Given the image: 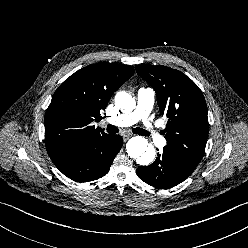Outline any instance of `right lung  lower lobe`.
Wrapping results in <instances>:
<instances>
[{
    "label": "right lung lower lobe",
    "mask_w": 248,
    "mask_h": 248,
    "mask_svg": "<svg viewBox=\"0 0 248 248\" xmlns=\"http://www.w3.org/2000/svg\"><path fill=\"white\" fill-rule=\"evenodd\" d=\"M123 145L119 135L105 134L52 159L56 167L76 182H89L106 175Z\"/></svg>",
    "instance_id": "right-lung-lower-lobe-1"
}]
</instances>
